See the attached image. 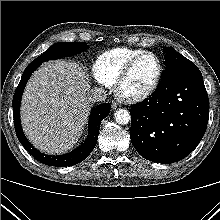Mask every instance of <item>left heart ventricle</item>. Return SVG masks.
Segmentation results:
<instances>
[{"label":"left heart ventricle","instance_id":"obj_1","mask_svg":"<svg viewBox=\"0 0 220 220\" xmlns=\"http://www.w3.org/2000/svg\"><path fill=\"white\" fill-rule=\"evenodd\" d=\"M157 68V61L154 57L150 55L143 56L133 67L122 86V91L128 95L145 91L155 79Z\"/></svg>","mask_w":220,"mask_h":220}]
</instances>
